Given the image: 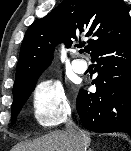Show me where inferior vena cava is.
Listing matches in <instances>:
<instances>
[{"label":"inferior vena cava","instance_id":"inferior-vena-cava-1","mask_svg":"<svg viewBox=\"0 0 131 151\" xmlns=\"http://www.w3.org/2000/svg\"><path fill=\"white\" fill-rule=\"evenodd\" d=\"M66 132L72 138L73 143L77 146L78 151H86V141L84 133L71 121L67 123Z\"/></svg>","mask_w":131,"mask_h":151}]
</instances>
